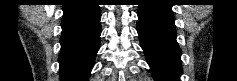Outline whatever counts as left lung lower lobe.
<instances>
[{"label": "left lung lower lobe", "mask_w": 237, "mask_h": 81, "mask_svg": "<svg viewBox=\"0 0 237 81\" xmlns=\"http://www.w3.org/2000/svg\"><path fill=\"white\" fill-rule=\"evenodd\" d=\"M172 4L147 0L139 5L137 31L156 81H177L182 73Z\"/></svg>", "instance_id": "left-lung-lower-lobe-1"}]
</instances>
